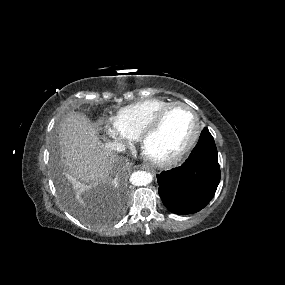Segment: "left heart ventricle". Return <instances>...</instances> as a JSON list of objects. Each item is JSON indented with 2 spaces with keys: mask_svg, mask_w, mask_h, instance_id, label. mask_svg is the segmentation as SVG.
<instances>
[{
  "mask_svg": "<svg viewBox=\"0 0 285 285\" xmlns=\"http://www.w3.org/2000/svg\"><path fill=\"white\" fill-rule=\"evenodd\" d=\"M194 130L193 116L184 108H174L160 127L145 140L143 151L155 159H168L184 148Z\"/></svg>",
  "mask_w": 285,
  "mask_h": 285,
  "instance_id": "obj_1",
  "label": "left heart ventricle"
}]
</instances>
